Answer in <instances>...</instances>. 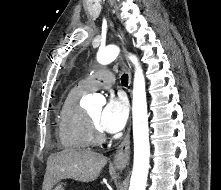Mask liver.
Returning a JSON list of instances; mask_svg holds the SVG:
<instances>
[{"label":"liver","mask_w":221,"mask_h":190,"mask_svg":"<svg viewBox=\"0 0 221 190\" xmlns=\"http://www.w3.org/2000/svg\"><path fill=\"white\" fill-rule=\"evenodd\" d=\"M107 158L90 150L64 149L48 157L42 190H52L62 179L91 182L97 179Z\"/></svg>","instance_id":"obj_1"}]
</instances>
